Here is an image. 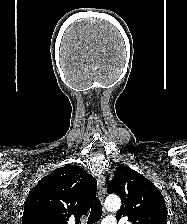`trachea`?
<instances>
[{"mask_svg":"<svg viewBox=\"0 0 187 224\" xmlns=\"http://www.w3.org/2000/svg\"><path fill=\"white\" fill-rule=\"evenodd\" d=\"M102 206L100 200L96 198L91 206V212L88 217V224H95L98 222L102 216Z\"/></svg>","mask_w":187,"mask_h":224,"instance_id":"3493384b","label":"trachea"}]
</instances>
